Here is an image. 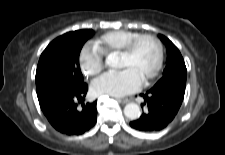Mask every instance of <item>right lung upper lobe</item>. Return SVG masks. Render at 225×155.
Listing matches in <instances>:
<instances>
[{
  "mask_svg": "<svg viewBox=\"0 0 225 155\" xmlns=\"http://www.w3.org/2000/svg\"><path fill=\"white\" fill-rule=\"evenodd\" d=\"M78 31L89 32V31H92V30H78Z\"/></svg>",
  "mask_w": 225,
  "mask_h": 155,
  "instance_id": "right-lung-upper-lobe-1",
  "label": "right lung upper lobe"
}]
</instances>
